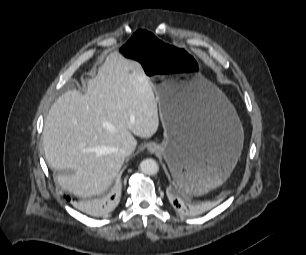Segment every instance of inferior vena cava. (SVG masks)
<instances>
[{
  "instance_id": "602c4592",
  "label": "inferior vena cava",
  "mask_w": 306,
  "mask_h": 255,
  "mask_svg": "<svg viewBox=\"0 0 306 255\" xmlns=\"http://www.w3.org/2000/svg\"><path fill=\"white\" fill-rule=\"evenodd\" d=\"M134 150H135V146L126 143V144H124V145L120 148L119 152H120V154H121L123 157H127V156H129Z\"/></svg>"
}]
</instances>
